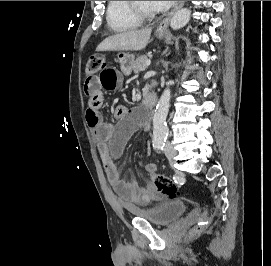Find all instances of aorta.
<instances>
[{
	"mask_svg": "<svg viewBox=\"0 0 271 266\" xmlns=\"http://www.w3.org/2000/svg\"><path fill=\"white\" fill-rule=\"evenodd\" d=\"M191 11L187 8L178 10L170 21V26L173 30L183 28L190 20ZM168 87L163 91L160 100L157 103L155 113L153 115V139L164 140L168 134L166 125V117L170 107L171 91Z\"/></svg>",
	"mask_w": 271,
	"mask_h": 266,
	"instance_id": "1",
	"label": "aorta"
}]
</instances>
